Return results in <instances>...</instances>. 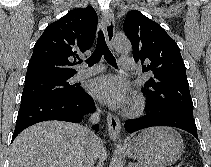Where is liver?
<instances>
[{"instance_id": "obj_1", "label": "liver", "mask_w": 211, "mask_h": 167, "mask_svg": "<svg viewBox=\"0 0 211 167\" xmlns=\"http://www.w3.org/2000/svg\"><path fill=\"white\" fill-rule=\"evenodd\" d=\"M103 152L100 141L81 125L45 121L21 132L11 147L10 167H83L88 150Z\"/></svg>"}]
</instances>
